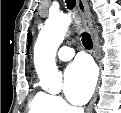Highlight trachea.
I'll use <instances>...</instances> for the list:
<instances>
[{"mask_svg":"<svg viewBox=\"0 0 121 113\" xmlns=\"http://www.w3.org/2000/svg\"><path fill=\"white\" fill-rule=\"evenodd\" d=\"M66 3L68 9H73L75 7V0H66ZM82 43L86 49H91L93 47L89 33L82 34Z\"/></svg>","mask_w":121,"mask_h":113,"instance_id":"trachea-1","label":"trachea"}]
</instances>
